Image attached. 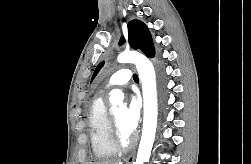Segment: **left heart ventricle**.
Wrapping results in <instances>:
<instances>
[{"label": "left heart ventricle", "mask_w": 251, "mask_h": 164, "mask_svg": "<svg viewBox=\"0 0 251 164\" xmlns=\"http://www.w3.org/2000/svg\"><path fill=\"white\" fill-rule=\"evenodd\" d=\"M124 113H125V109L123 107H121V108L116 109L113 112V116L117 122V125H118L123 137L127 138L130 134H128V132L125 130V128L123 126Z\"/></svg>", "instance_id": "b2bd125f"}]
</instances>
